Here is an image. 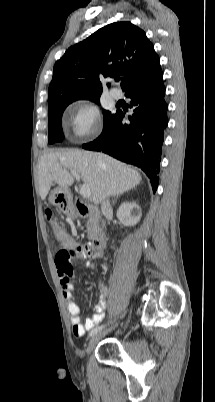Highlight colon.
Instances as JSON below:
<instances>
[{
  "label": "colon",
  "instance_id": "5ec220e1",
  "mask_svg": "<svg viewBox=\"0 0 215 402\" xmlns=\"http://www.w3.org/2000/svg\"><path fill=\"white\" fill-rule=\"evenodd\" d=\"M46 217L57 237V243L61 244L62 250H73L76 242L75 235H65L64 232L59 229L55 222L54 215L51 209L46 210ZM74 256V252L64 251L60 254L59 258L62 262H68L70 259L74 258ZM64 270L66 272H69L72 270V266L70 264H67L66 266H64Z\"/></svg>",
  "mask_w": 215,
  "mask_h": 402
}]
</instances>
